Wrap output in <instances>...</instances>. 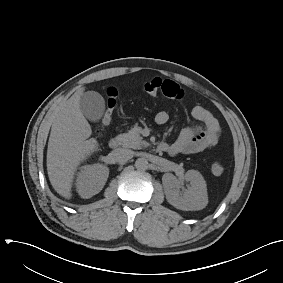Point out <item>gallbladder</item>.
<instances>
[{
    "mask_svg": "<svg viewBox=\"0 0 283 283\" xmlns=\"http://www.w3.org/2000/svg\"><path fill=\"white\" fill-rule=\"evenodd\" d=\"M80 109L88 120L97 122L104 114L105 101L98 92L87 91L80 97Z\"/></svg>",
    "mask_w": 283,
    "mask_h": 283,
    "instance_id": "bac80fb5",
    "label": "gallbladder"
}]
</instances>
